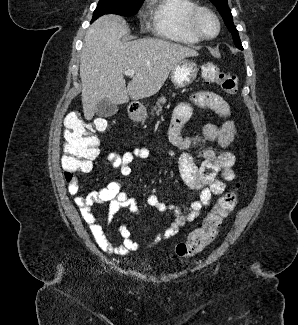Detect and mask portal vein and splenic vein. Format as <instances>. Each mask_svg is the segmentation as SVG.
Returning <instances> with one entry per match:
<instances>
[{
  "instance_id": "obj_1",
  "label": "portal vein and splenic vein",
  "mask_w": 298,
  "mask_h": 325,
  "mask_svg": "<svg viewBox=\"0 0 298 325\" xmlns=\"http://www.w3.org/2000/svg\"><path fill=\"white\" fill-rule=\"evenodd\" d=\"M124 74H127V76H134L135 70H133V68H128V70H124Z\"/></svg>"
}]
</instances>
